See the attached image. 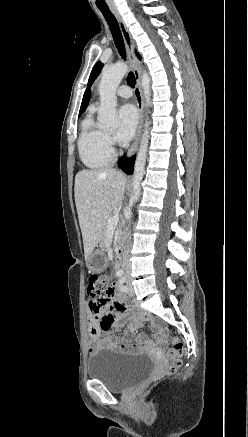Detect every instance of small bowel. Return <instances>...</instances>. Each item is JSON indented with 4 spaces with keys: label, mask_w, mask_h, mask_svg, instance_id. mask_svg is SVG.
Wrapping results in <instances>:
<instances>
[{
    "label": "small bowel",
    "mask_w": 248,
    "mask_h": 437,
    "mask_svg": "<svg viewBox=\"0 0 248 437\" xmlns=\"http://www.w3.org/2000/svg\"><path fill=\"white\" fill-rule=\"evenodd\" d=\"M88 310V351L90 354L102 348L125 352L152 351L164 342L161 327L156 322L153 323L155 328L153 339L140 334L137 335L135 342L115 340V333L110 328H120L127 314V300L120 295L118 286L110 287L102 297L93 294L88 302ZM137 326L138 321L135 320L131 328L134 329Z\"/></svg>",
    "instance_id": "1"
}]
</instances>
